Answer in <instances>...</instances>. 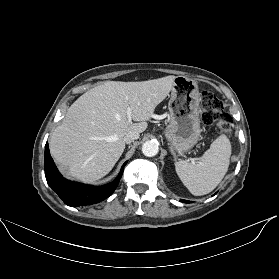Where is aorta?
Wrapping results in <instances>:
<instances>
[{"mask_svg": "<svg viewBox=\"0 0 279 279\" xmlns=\"http://www.w3.org/2000/svg\"><path fill=\"white\" fill-rule=\"evenodd\" d=\"M159 152L158 144L155 141H146L142 145V153L147 157H153Z\"/></svg>", "mask_w": 279, "mask_h": 279, "instance_id": "762f6f07", "label": "aorta"}]
</instances>
